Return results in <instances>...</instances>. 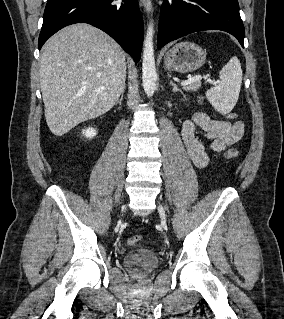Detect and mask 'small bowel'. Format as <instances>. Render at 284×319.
Instances as JSON below:
<instances>
[{
  "instance_id": "obj_1",
  "label": "small bowel",
  "mask_w": 284,
  "mask_h": 319,
  "mask_svg": "<svg viewBox=\"0 0 284 319\" xmlns=\"http://www.w3.org/2000/svg\"><path fill=\"white\" fill-rule=\"evenodd\" d=\"M244 133L241 121L228 122L212 119L204 112H196L182 124L181 136L188 156L197 167H205L209 156L200 134L211 141L213 151L222 152L240 141Z\"/></svg>"
}]
</instances>
